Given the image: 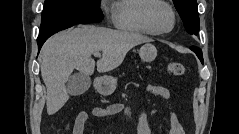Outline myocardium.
Returning a JSON list of instances; mask_svg holds the SVG:
<instances>
[{
    "mask_svg": "<svg viewBox=\"0 0 239 134\" xmlns=\"http://www.w3.org/2000/svg\"><path fill=\"white\" fill-rule=\"evenodd\" d=\"M156 5H163L165 6L172 15V24L169 29L167 30H158L152 21V11ZM143 20L145 25L148 27V29L154 34V35H167L171 33L174 28L176 27L177 23V15L174 10V8L170 5L169 2L163 1V0H149V2L146 4L144 11H143Z\"/></svg>",
    "mask_w": 239,
    "mask_h": 134,
    "instance_id": "f54148a6",
    "label": "myocardium"
}]
</instances>
